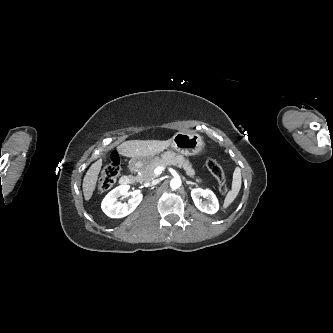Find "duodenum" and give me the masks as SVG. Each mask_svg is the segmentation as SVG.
Returning <instances> with one entry per match:
<instances>
[{
	"mask_svg": "<svg viewBox=\"0 0 333 333\" xmlns=\"http://www.w3.org/2000/svg\"><path fill=\"white\" fill-rule=\"evenodd\" d=\"M134 181V176L133 175H124L120 178V183L123 185L130 184Z\"/></svg>",
	"mask_w": 333,
	"mask_h": 333,
	"instance_id": "1",
	"label": "duodenum"
}]
</instances>
